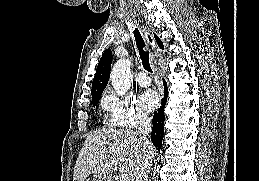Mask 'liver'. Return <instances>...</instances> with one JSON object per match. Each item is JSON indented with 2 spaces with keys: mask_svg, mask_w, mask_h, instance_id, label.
<instances>
[{
  "mask_svg": "<svg viewBox=\"0 0 259 181\" xmlns=\"http://www.w3.org/2000/svg\"><path fill=\"white\" fill-rule=\"evenodd\" d=\"M143 145L137 131L102 129L89 134L76 160L73 181H85L90 174L106 177L120 170L136 181L143 163ZM150 164L155 155L152 146L148 153Z\"/></svg>",
  "mask_w": 259,
  "mask_h": 181,
  "instance_id": "liver-1",
  "label": "liver"
}]
</instances>
